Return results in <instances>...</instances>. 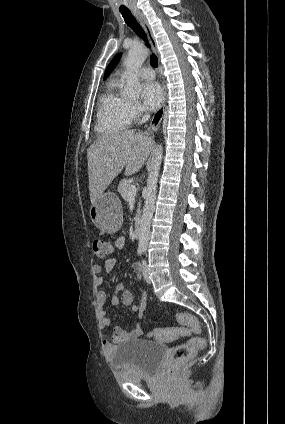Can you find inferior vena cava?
Here are the masks:
<instances>
[{"label": "inferior vena cava", "mask_w": 285, "mask_h": 424, "mask_svg": "<svg viewBox=\"0 0 285 424\" xmlns=\"http://www.w3.org/2000/svg\"><path fill=\"white\" fill-rule=\"evenodd\" d=\"M150 118V115L147 113L142 117L140 124L145 123Z\"/></svg>", "instance_id": "602c4592"}]
</instances>
